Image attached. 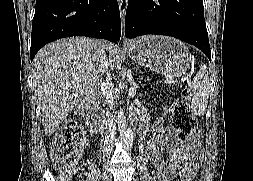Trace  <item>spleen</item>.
Returning a JSON list of instances; mask_svg holds the SVG:
<instances>
[{
  "mask_svg": "<svg viewBox=\"0 0 253 181\" xmlns=\"http://www.w3.org/2000/svg\"><path fill=\"white\" fill-rule=\"evenodd\" d=\"M190 89H192V111L194 114L202 116L206 112L210 89V80L205 64H201L199 72L190 84Z\"/></svg>",
  "mask_w": 253,
  "mask_h": 181,
  "instance_id": "3e777b00",
  "label": "spleen"
}]
</instances>
